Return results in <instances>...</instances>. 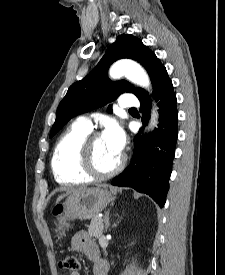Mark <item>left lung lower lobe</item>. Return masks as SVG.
Here are the masks:
<instances>
[{
  "label": "left lung lower lobe",
  "instance_id": "1",
  "mask_svg": "<svg viewBox=\"0 0 225 275\" xmlns=\"http://www.w3.org/2000/svg\"><path fill=\"white\" fill-rule=\"evenodd\" d=\"M159 106L158 128L146 137L136 136L134 154L129 166L112 180L115 186L132 187L148 194L163 207L169 189V178L175 155L178 133L176 95L164 69L152 83ZM141 103L142 121L147 122L151 100L147 92L138 97Z\"/></svg>",
  "mask_w": 225,
  "mask_h": 275
}]
</instances>
